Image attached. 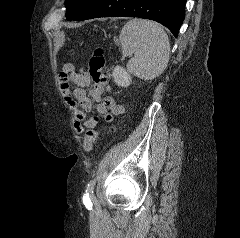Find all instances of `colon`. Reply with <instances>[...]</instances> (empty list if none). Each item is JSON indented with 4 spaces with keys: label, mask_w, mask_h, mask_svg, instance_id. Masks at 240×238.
<instances>
[{
    "label": "colon",
    "mask_w": 240,
    "mask_h": 238,
    "mask_svg": "<svg viewBox=\"0 0 240 238\" xmlns=\"http://www.w3.org/2000/svg\"><path fill=\"white\" fill-rule=\"evenodd\" d=\"M105 68V57L102 49H96L93 55L89 60V74L95 83L102 84L103 86H107L108 89V76L104 72ZM116 126L111 125L109 127L110 132L116 131ZM99 137V132L95 130H89L84 138L83 148L86 152L92 151L94 145L96 144Z\"/></svg>",
    "instance_id": "colon-1"
}]
</instances>
